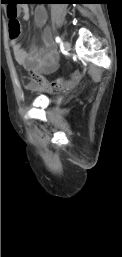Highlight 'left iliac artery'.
Instances as JSON below:
<instances>
[{"label":"left iliac artery","mask_w":122,"mask_h":257,"mask_svg":"<svg viewBox=\"0 0 122 257\" xmlns=\"http://www.w3.org/2000/svg\"><path fill=\"white\" fill-rule=\"evenodd\" d=\"M55 40H56L57 43H61V42H62V40H61V38H60L59 36H57V37L55 38Z\"/></svg>","instance_id":"left-iliac-artery-1"}]
</instances>
